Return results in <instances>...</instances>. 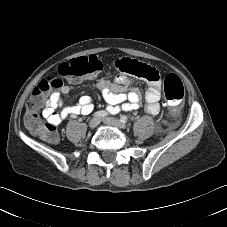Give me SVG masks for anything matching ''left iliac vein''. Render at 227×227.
Listing matches in <instances>:
<instances>
[{"instance_id":"1","label":"left iliac vein","mask_w":227,"mask_h":227,"mask_svg":"<svg viewBox=\"0 0 227 227\" xmlns=\"http://www.w3.org/2000/svg\"><path fill=\"white\" fill-rule=\"evenodd\" d=\"M102 121L105 124L116 127L118 129H125L126 128V125L124 123H122L119 119H116V118H111V117L104 118V119H102Z\"/></svg>"}]
</instances>
